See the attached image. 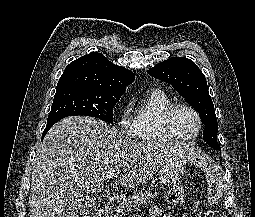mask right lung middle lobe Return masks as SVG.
<instances>
[{
    "instance_id": "obj_1",
    "label": "right lung middle lobe",
    "mask_w": 255,
    "mask_h": 217,
    "mask_svg": "<svg viewBox=\"0 0 255 217\" xmlns=\"http://www.w3.org/2000/svg\"><path fill=\"white\" fill-rule=\"evenodd\" d=\"M122 94L82 87L57 89L47 121L59 116L84 115L113 122V108Z\"/></svg>"
}]
</instances>
